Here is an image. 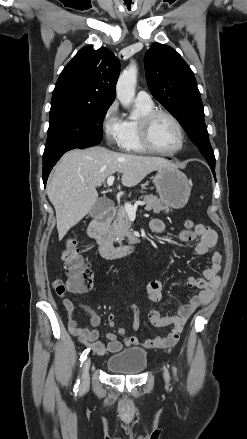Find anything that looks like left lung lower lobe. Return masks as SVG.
<instances>
[{
	"instance_id": "obj_1",
	"label": "left lung lower lobe",
	"mask_w": 247,
	"mask_h": 439,
	"mask_svg": "<svg viewBox=\"0 0 247 439\" xmlns=\"http://www.w3.org/2000/svg\"><path fill=\"white\" fill-rule=\"evenodd\" d=\"M211 170H212V172H213V174L215 176V167H211Z\"/></svg>"
}]
</instances>
